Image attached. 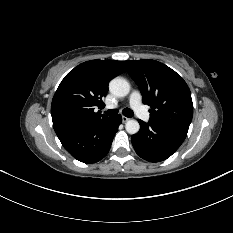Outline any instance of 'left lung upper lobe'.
<instances>
[{
	"label": "left lung upper lobe",
	"mask_w": 233,
	"mask_h": 233,
	"mask_svg": "<svg viewBox=\"0 0 233 233\" xmlns=\"http://www.w3.org/2000/svg\"><path fill=\"white\" fill-rule=\"evenodd\" d=\"M122 64L138 85L143 103L151 107L150 121L187 133L193 116V103L189 87L182 77L155 60H128Z\"/></svg>",
	"instance_id": "5c2ea615"
}]
</instances>
